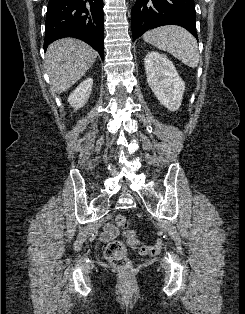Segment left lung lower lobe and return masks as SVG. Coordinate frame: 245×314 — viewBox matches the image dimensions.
I'll return each mask as SVG.
<instances>
[{
	"mask_svg": "<svg viewBox=\"0 0 245 314\" xmlns=\"http://www.w3.org/2000/svg\"><path fill=\"white\" fill-rule=\"evenodd\" d=\"M179 25L196 38L194 0H136L131 11L133 40L151 28Z\"/></svg>",
	"mask_w": 245,
	"mask_h": 314,
	"instance_id": "left-lung-lower-lobe-1",
	"label": "left lung lower lobe"
}]
</instances>
